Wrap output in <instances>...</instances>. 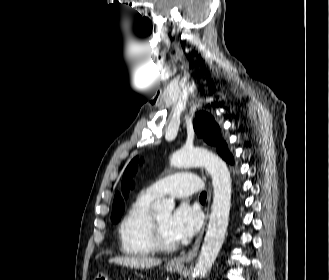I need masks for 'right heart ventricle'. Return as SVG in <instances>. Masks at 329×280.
<instances>
[{"instance_id":"right-heart-ventricle-1","label":"right heart ventricle","mask_w":329,"mask_h":280,"mask_svg":"<svg viewBox=\"0 0 329 280\" xmlns=\"http://www.w3.org/2000/svg\"><path fill=\"white\" fill-rule=\"evenodd\" d=\"M156 199L147 191L141 193L128 207L120 225L121 250L130 256H147L154 252L150 235L151 207Z\"/></svg>"}]
</instances>
